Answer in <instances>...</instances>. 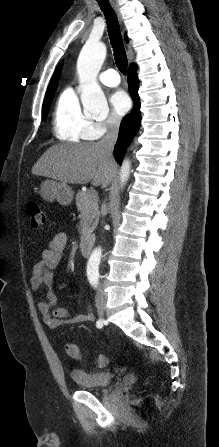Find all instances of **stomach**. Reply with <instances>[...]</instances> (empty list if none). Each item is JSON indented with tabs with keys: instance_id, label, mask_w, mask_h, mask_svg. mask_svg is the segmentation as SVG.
<instances>
[{
	"instance_id": "stomach-1",
	"label": "stomach",
	"mask_w": 219,
	"mask_h": 447,
	"mask_svg": "<svg viewBox=\"0 0 219 447\" xmlns=\"http://www.w3.org/2000/svg\"><path fill=\"white\" fill-rule=\"evenodd\" d=\"M39 193L45 200H57L61 205H69L74 196V192L69 185L55 180L42 182Z\"/></svg>"
}]
</instances>
